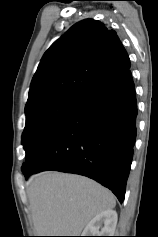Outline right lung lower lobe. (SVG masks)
Segmentation results:
<instances>
[{"label":"right lung lower lobe","instance_id":"98d812e1","mask_svg":"<svg viewBox=\"0 0 158 237\" xmlns=\"http://www.w3.org/2000/svg\"><path fill=\"white\" fill-rule=\"evenodd\" d=\"M137 104L130 70L90 95L40 145L25 176L58 170L87 176L124 200L136 139Z\"/></svg>","mask_w":158,"mask_h":237}]
</instances>
